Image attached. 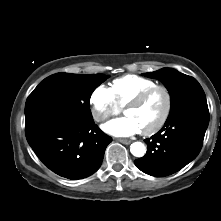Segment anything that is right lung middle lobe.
<instances>
[{"instance_id":"dd1d6c3e","label":"right lung middle lobe","mask_w":221,"mask_h":221,"mask_svg":"<svg viewBox=\"0 0 221 221\" xmlns=\"http://www.w3.org/2000/svg\"><path fill=\"white\" fill-rule=\"evenodd\" d=\"M104 74L57 73L45 78L29 95L25 115L44 107L58 108L80 121H92L90 97Z\"/></svg>"}]
</instances>
